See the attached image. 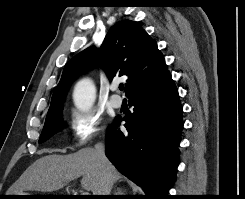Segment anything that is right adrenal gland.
Instances as JSON below:
<instances>
[{
    "mask_svg": "<svg viewBox=\"0 0 245 199\" xmlns=\"http://www.w3.org/2000/svg\"><path fill=\"white\" fill-rule=\"evenodd\" d=\"M124 192L125 191H123L121 188H117L116 193H114V195H125Z\"/></svg>",
    "mask_w": 245,
    "mask_h": 199,
    "instance_id": "obj_1",
    "label": "right adrenal gland"
}]
</instances>
